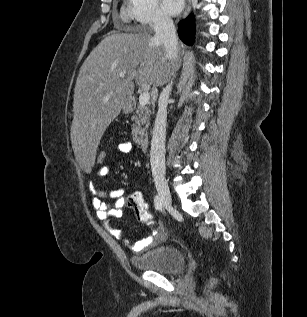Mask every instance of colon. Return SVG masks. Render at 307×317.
Wrapping results in <instances>:
<instances>
[{
  "instance_id": "obj_1",
  "label": "colon",
  "mask_w": 307,
  "mask_h": 317,
  "mask_svg": "<svg viewBox=\"0 0 307 317\" xmlns=\"http://www.w3.org/2000/svg\"><path fill=\"white\" fill-rule=\"evenodd\" d=\"M107 160V153L104 150H98L95 162L98 165H104ZM126 206L133 210L136 218L143 223H150L152 215L149 212L148 205L140 192H133L126 198Z\"/></svg>"
}]
</instances>
